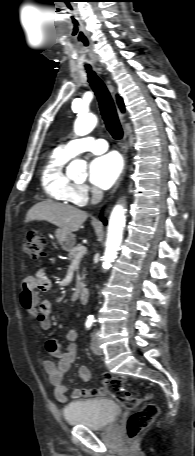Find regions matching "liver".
Segmentation results:
<instances>
[{"mask_svg": "<svg viewBox=\"0 0 195 456\" xmlns=\"http://www.w3.org/2000/svg\"><path fill=\"white\" fill-rule=\"evenodd\" d=\"M87 217L86 211L47 200L31 207L27 213L26 222L47 221L58 226L66 233H72L79 230Z\"/></svg>", "mask_w": 195, "mask_h": 456, "instance_id": "liver-1", "label": "liver"}]
</instances>
